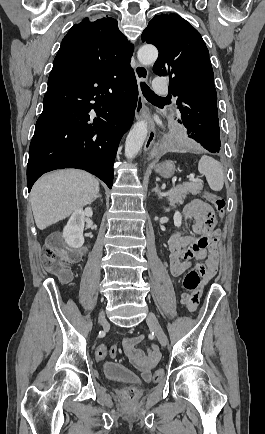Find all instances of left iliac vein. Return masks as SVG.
<instances>
[{
    "instance_id": "obj_1",
    "label": "left iliac vein",
    "mask_w": 265,
    "mask_h": 434,
    "mask_svg": "<svg viewBox=\"0 0 265 434\" xmlns=\"http://www.w3.org/2000/svg\"><path fill=\"white\" fill-rule=\"evenodd\" d=\"M146 322H147L148 326L151 328V330L156 334L159 343L162 346H166L167 342H168L167 336H166L164 330L162 329L161 325L159 324L157 317L155 316V314L153 312H151V311L148 312Z\"/></svg>"
}]
</instances>
